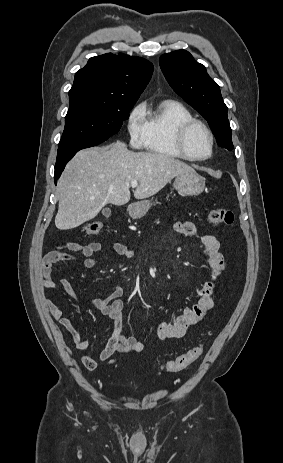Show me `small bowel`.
Listing matches in <instances>:
<instances>
[{"instance_id": "1", "label": "small bowel", "mask_w": 283, "mask_h": 463, "mask_svg": "<svg viewBox=\"0 0 283 463\" xmlns=\"http://www.w3.org/2000/svg\"><path fill=\"white\" fill-rule=\"evenodd\" d=\"M175 231L179 234L199 237L202 243L206 265L211 272L210 279L204 283L198 294L197 303L189 308H185L176 318L175 322L168 324L159 322L156 326V336L160 340H169L183 337L189 327H193L201 323L205 317L212 311L214 307V297L223 288V283L220 280L222 274L226 270L227 261L225 255L220 251V243L217 238L211 234H200L196 225L192 222H177L174 226ZM103 250V246L99 242H90L85 245L68 241L60 245H56L49 251L42 261L41 285L44 290H50L56 287V282L52 278V267L55 263L63 261H75L76 258L70 252L78 253L82 259V265L86 269H93L97 261L93 257L95 253ZM113 250L118 255L124 256L127 259H133L134 253L129 251L127 247L120 241L113 244ZM59 284L72 298L77 299L71 283L67 279H61ZM124 294L122 287H115L112 292L101 299H94L87 302L88 305L98 310L101 314L108 316L113 323V333L105 347L99 352L97 359L107 361L113 365L116 359L112 356L116 353L127 355L130 353L142 352L145 348L141 338L125 336L122 334L123 327V301L121 297ZM45 306L48 312L65 327L71 334L76 348L86 350L89 347V342L82 339L79 333L74 328L70 318L63 315L61 309L48 297L44 299ZM147 328L143 329L146 332ZM97 359L89 353L81 355L83 366L93 371L97 366Z\"/></svg>"}]
</instances>
